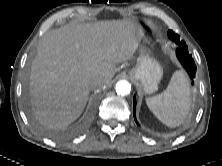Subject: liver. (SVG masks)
<instances>
[{
	"instance_id": "liver-1",
	"label": "liver",
	"mask_w": 222,
	"mask_h": 166,
	"mask_svg": "<svg viewBox=\"0 0 222 166\" xmlns=\"http://www.w3.org/2000/svg\"><path fill=\"white\" fill-rule=\"evenodd\" d=\"M134 22L69 24L39 41L31 66L30 96L39 122L65 129L83 112L96 81L109 84L116 65L133 58Z\"/></svg>"
}]
</instances>
